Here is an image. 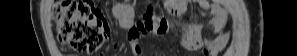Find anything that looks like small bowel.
<instances>
[{
    "mask_svg": "<svg viewBox=\"0 0 297 56\" xmlns=\"http://www.w3.org/2000/svg\"><path fill=\"white\" fill-rule=\"evenodd\" d=\"M188 0H167L165 2V11L174 16H183L188 9ZM201 9L202 14L214 13V19L204 26L200 23H191L183 26L179 30V42L188 50H201L205 56H216L222 51L229 40V35L224 31V26L228 21L227 13L217 4L206 0L194 1ZM113 15L119 21L120 25L128 29V43L131 52L134 55H143V49L138 43L140 37L148 34L163 36L169 29L168 21L160 16H155L153 6H148L142 20L134 24V9L128 2L117 3L113 7ZM213 30L217 37L212 39L206 36L205 31ZM117 47V43H112L108 51Z\"/></svg>",
    "mask_w": 297,
    "mask_h": 56,
    "instance_id": "small-bowel-1",
    "label": "small bowel"
}]
</instances>
